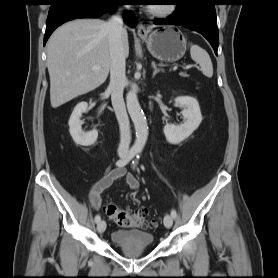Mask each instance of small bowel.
<instances>
[{
    "instance_id": "obj_1",
    "label": "small bowel",
    "mask_w": 278,
    "mask_h": 278,
    "mask_svg": "<svg viewBox=\"0 0 278 278\" xmlns=\"http://www.w3.org/2000/svg\"><path fill=\"white\" fill-rule=\"evenodd\" d=\"M121 179H124L126 185L134 191L140 187V183L134 175L128 173L124 167H116L93 184L89 192V201L94 209L98 210L101 207V194L114 182Z\"/></svg>"
}]
</instances>
